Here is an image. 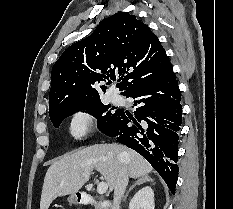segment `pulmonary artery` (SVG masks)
Masks as SVG:
<instances>
[{
	"label": "pulmonary artery",
	"instance_id": "pulmonary-artery-1",
	"mask_svg": "<svg viewBox=\"0 0 233 209\" xmlns=\"http://www.w3.org/2000/svg\"><path fill=\"white\" fill-rule=\"evenodd\" d=\"M111 100L113 103H120L121 102V97L117 93H113L111 95Z\"/></svg>",
	"mask_w": 233,
	"mask_h": 209
}]
</instances>
